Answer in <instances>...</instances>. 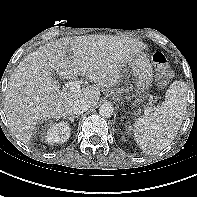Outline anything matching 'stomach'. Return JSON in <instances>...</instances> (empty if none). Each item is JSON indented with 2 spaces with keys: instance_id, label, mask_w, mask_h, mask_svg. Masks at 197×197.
Listing matches in <instances>:
<instances>
[{
  "instance_id": "obj_1",
  "label": "stomach",
  "mask_w": 197,
  "mask_h": 197,
  "mask_svg": "<svg viewBox=\"0 0 197 197\" xmlns=\"http://www.w3.org/2000/svg\"><path fill=\"white\" fill-rule=\"evenodd\" d=\"M128 66L135 78L136 99L142 101L146 97L153 80V68L150 60L145 54L140 53L132 58Z\"/></svg>"
}]
</instances>
